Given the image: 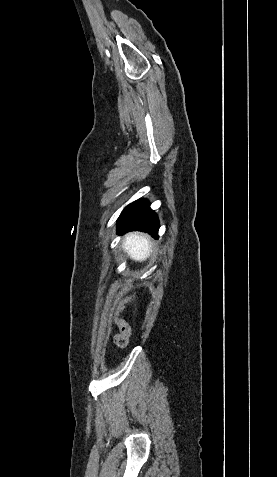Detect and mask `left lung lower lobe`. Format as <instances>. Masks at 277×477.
I'll list each match as a JSON object with an SVG mask.
<instances>
[{"label":"left lung lower lobe","mask_w":277,"mask_h":477,"mask_svg":"<svg viewBox=\"0 0 277 477\" xmlns=\"http://www.w3.org/2000/svg\"><path fill=\"white\" fill-rule=\"evenodd\" d=\"M143 231L158 238L159 221L147 200L139 199L124 208L117 220V233Z\"/></svg>","instance_id":"obj_1"}]
</instances>
